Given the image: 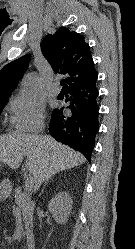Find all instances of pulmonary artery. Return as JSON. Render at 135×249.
Masks as SVG:
<instances>
[{"label": "pulmonary artery", "mask_w": 135, "mask_h": 249, "mask_svg": "<svg viewBox=\"0 0 135 249\" xmlns=\"http://www.w3.org/2000/svg\"><path fill=\"white\" fill-rule=\"evenodd\" d=\"M49 92H50L51 95H54V96H55V95H58L59 92H60V87H59V85H58L57 83H54V84L50 87Z\"/></svg>", "instance_id": "obj_1"}]
</instances>
